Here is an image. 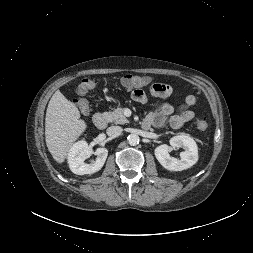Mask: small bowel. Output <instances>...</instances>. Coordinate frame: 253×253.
Returning <instances> with one entry per match:
<instances>
[{"instance_id":"small-bowel-1","label":"small bowel","mask_w":253,"mask_h":253,"mask_svg":"<svg viewBox=\"0 0 253 253\" xmlns=\"http://www.w3.org/2000/svg\"><path fill=\"white\" fill-rule=\"evenodd\" d=\"M149 94L151 97L168 98L172 94V88L168 84L154 83L149 88ZM131 96L138 103H145L148 100L146 92L140 88H136ZM195 104L196 98L193 95L186 96L184 103L179 107L169 102L163 103L151 111L144 122L149 126L162 127L168 121L172 128L178 129L194 118L195 113L192 108Z\"/></svg>"}]
</instances>
